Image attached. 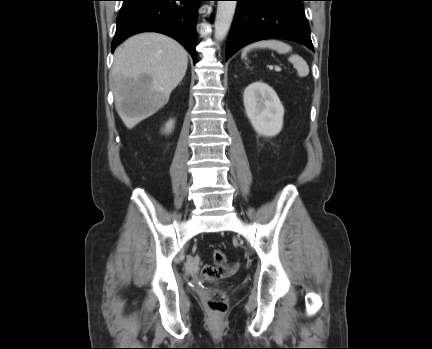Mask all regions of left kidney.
I'll use <instances>...</instances> for the list:
<instances>
[{"label": "left kidney", "instance_id": "5707ae66", "mask_svg": "<svg viewBox=\"0 0 432 349\" xmlns=\"http://www.w3.org/2000/svg\"><path fill=\"white\" fill-rule=\"evenodd\" d=\"M243 102L246 115L259 135L272 137L281 131L284 108L274 89L267 83L260 80L248 85Z\"/></svg>", "mask_w": 432, "mask_h": 349}]
</instances>
